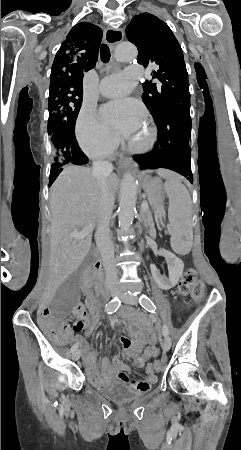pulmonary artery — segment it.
I'll use <instances>...</instances> for the list:
<instances>
[{
  "instance_id": "e3ab8cb5",
  "label": "pulmonary artery",
  "mask_w": 241,
  "mask_h": 450,
  "mask_svg": "<svg viewBox=\"0 0 241 450\" xmlns=\"http://www.w3.org/2000/svg\"><path fill=\"white\" fill-rule=\"evenodd\" d=\"M147 72L142 64H126L124 78L121 74H101L99 92L104 96L105 102H118L119 97L128 95L133 85L130 78H146Z\"/></svg>"
}]
</instances>
